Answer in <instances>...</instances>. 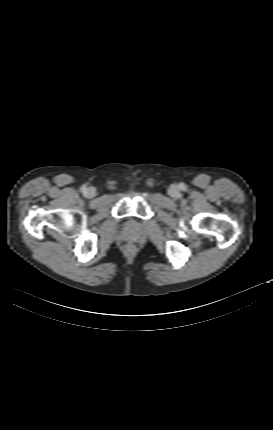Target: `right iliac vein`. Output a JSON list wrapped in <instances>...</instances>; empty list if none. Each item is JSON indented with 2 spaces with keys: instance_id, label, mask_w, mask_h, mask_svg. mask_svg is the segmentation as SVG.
Masks as SVG:
<instances>
[{
  "instance_id": "obj_1",
  "label": "right iliac vein",
  "mask_w": 273,
  "mask_h": 430,
  "mask_svg": "<svg viewBox=\"0 0 273 430\" xmlns=\"http://www.w3.org/2000/svg\"><path fill=\"white\" fill-rule=\"evenodd\" d=\"M88 198H93L96 196V189L94 187H89L86 192Z\"/></svg>"
}]
</instances>
